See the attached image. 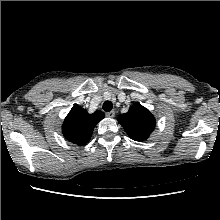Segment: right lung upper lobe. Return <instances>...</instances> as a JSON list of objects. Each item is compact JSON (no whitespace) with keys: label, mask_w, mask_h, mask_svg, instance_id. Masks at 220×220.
<instances>
[{"label":"right lung upper lobe","mask_w":220,"mask_h":220,"mask_svg":"<svg viewBox=\"0 0 220 220\" xmlns=\"http://www.w3.org/2000/svg\"><path fill=\"white\" fill-rule=\"evenodd\" d=\"M104 118V113L100 110L89 114L79 105H75L65 118L62 126L64 137L78 145H85L91 138L94 127Z\"/></svg>","instance_id":"obj_1"}]
</instances>
